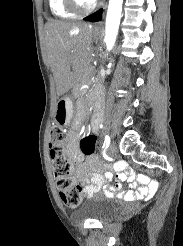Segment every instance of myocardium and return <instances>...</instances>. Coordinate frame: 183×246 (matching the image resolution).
<instances>
[{"label": "myocardium", "instance_id": "obj_1", "mask_svg": "<svg viewBox=\"0 0 183 246\" xmlns=\"http://www.w3.org/2000/svg\"><path fill=\"white\" fill-rule=\"evenodd\" d=\"M65 2H66L67 7L71 11H73L76 14H80V15L87 14L93 11L97 6L95 1H92L91 3L86 4V5L81 3L79 0H65Z\"/></svg>", "mask_w": 183, "mask_h": 246}]
</instances>
